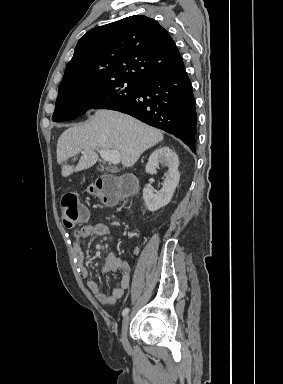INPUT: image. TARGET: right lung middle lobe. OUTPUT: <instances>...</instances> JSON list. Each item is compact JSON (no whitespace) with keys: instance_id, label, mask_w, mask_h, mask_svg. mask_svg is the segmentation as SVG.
I'll use <instances>...</instances> for the list:
<instances>
[{"instance_id":"1","label":"right lung middle lobe","mask_w":283,"mask_h":384,"mask_svg":"<svg viewBox=\"0 0 283 384\" xmlns=\"http://www.w3.org/2000/svg\"><path fill=\"white\" fill-rule=\"evenodd\" d=\"M139 88V83L123 79L59 87L52 120H72L83 115L89 108L109 109L135 98Z\"/></svg>"}]
</instances>
